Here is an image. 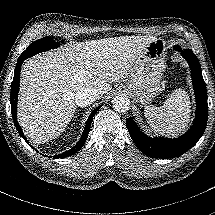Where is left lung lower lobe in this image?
<instances>
[{
	"mask_svg": "<svg viewBox=\"0 0 215 215\" xmlns=\"http://www.w3.org/2000/svg\"><path fill=\"white\" fill-rule=\"evenodd\" d=\"M174 49L189 63L193 87L196 96V118L192 127L183 136L169 139L163 137L151 138L145 135L135 124L133 117L128 118L126 125L131 138L138 149L152 158L168 159L179 157L191 149L205 131L208 118L207 90L201 73V66L191 49L181 50L177 45Z\"/></svg>",
	"mask_w": 215,
	"mask_h": 215,
	"instance_id": "0a47b994",
	"label": "left lung lower lobe"
}]
</instances>
